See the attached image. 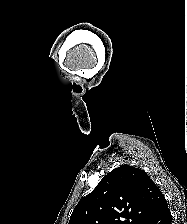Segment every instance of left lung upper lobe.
<instances>
[{"label":"left lung upper lobe","instance_id":"obj_1","mask_svg":"<svg viewBox=\"0 0 187 224\" xmlns=\"http://www.w3.org/2000/svg\"><path fill=\"white\" fill-rule=\"evenodd\" d=\"M162 196L145 171L122 165L78 202L68 224H148Z\"/></svg>","mask_w":187,"mask_h":224}]
</instances>
